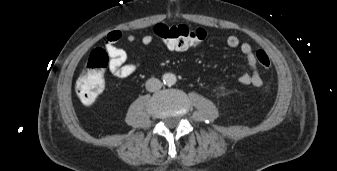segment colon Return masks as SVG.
I'll return each instance as SVG.
<instances>
[{"instance_id":"colon-1","label":"colon","mask_w":337,"mask_h":171,"mask_svg":"<svg viewBox=\"0 0 337 171\" xmlns=\"http://www.w3.org/2000/svg\"><path fill=\"white\" fill-rule=\"evenodd\" d=\"M155 34L165 43L171 53L199 45L206 38V31L200 27H190L184 24H157ZM255 57L260 67L269 70L271 61L265 51L257 49ZM108 65V54L101 48L94 49L86 62L84 69L76 81V92L85 106L93 105L105 88L104 72Z\"/></svg>"}]
</instances>
